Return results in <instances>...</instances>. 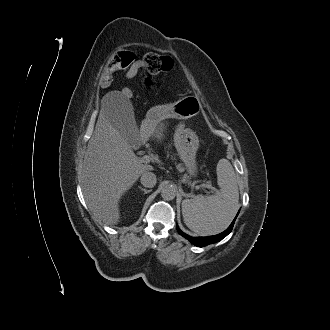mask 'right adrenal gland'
I'll use <instances>...</instances> for the list:
<instances>
[{
  "instance_id": "1",
  "label": "right adrenal gland",
  "mask_w": 330,
  "mask_h": 330,
  "mask_svg": "<svg viewBox=\"0 0 330 330\" xmlns=\"http://www.w3.org/2000/svg\"><path fill=\"white\" fill-rule=\"evenodd\" d=\"M138 188L144 192V194H147L148 192H150V190H147L145 188H142L141 186H138Z\"/></svg>"
}]
</instances>
